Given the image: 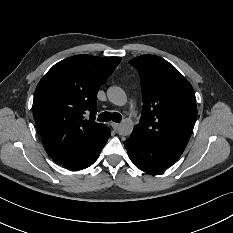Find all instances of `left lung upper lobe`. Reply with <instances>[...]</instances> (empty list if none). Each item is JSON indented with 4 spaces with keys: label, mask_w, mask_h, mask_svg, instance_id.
Listing matches in <instances>:
<instances>
[{
    "label": "left lung upper lobe",
    "mask_w": 233,
    "mask_h": 233,
    "mask_svg": "<svg viewBox=\"0 0 233 233\" xmlns=\"http://www.w3.org/2000/svg\"><path fill=\"white\" fill-rule=\"evenodd\" d=\"M129 63L138 70L143 97L141 118L133 131L152 143L183 153L197 116L191 84L158 56L142 55Z\"/></svg>",
    "instance_id": "1"
}]
</instances>
